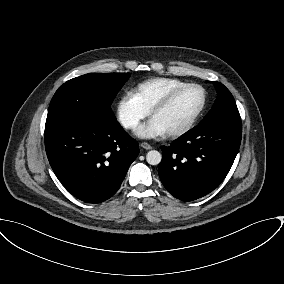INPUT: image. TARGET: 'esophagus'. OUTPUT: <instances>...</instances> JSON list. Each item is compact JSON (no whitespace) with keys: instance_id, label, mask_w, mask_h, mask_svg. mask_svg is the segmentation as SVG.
I'll list each match as a JSON object with an SVG mask.
<instances>
[{"instance_id":"34e87169","label":"esophagus","mask_w":284,"mask_h":284,"mask_svg":"<svg viewBox=\"0 0 284 284\" xmlns=\"http://www.w3.org/2000/svg\"><path fill=\"white\" fill-rule=\"evenodd\" d=\"M140 146H141L143 149H146V150L152 149V146H151L149 143H147V142H142V143L140 144Z\"/></svg>"}]
</instances>
